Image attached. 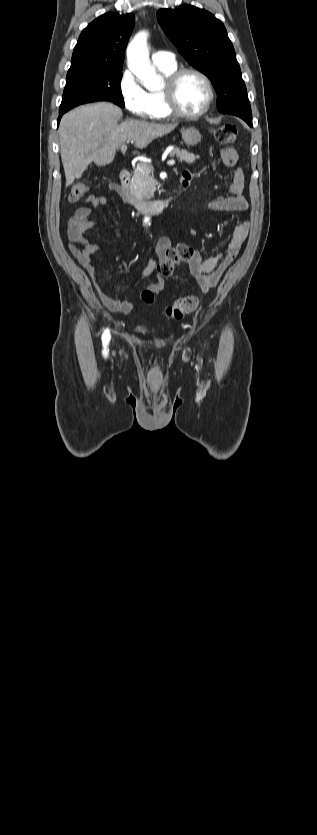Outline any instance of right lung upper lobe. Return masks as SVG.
Here are the masks:
<instances>
[{
  "label": "right lung upper lobe",
  "instance_id": "right-lung-upper-lobe-1",
  "mask_svg": "<svg viewBox=\"0 0 317 835\" xmlns=\"http://www.w3.org/2000/svg\"><path fill=\"white\" fill-rule=\"evenodd\" d=\"M135 24L133 14L105 13L81 33L71 67L94 66L122 69L125 49Z\"/></svg>",
  "mask_w": 317,
  "mask_h": 835
}]
</instances>
